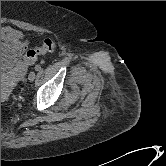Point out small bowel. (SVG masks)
Returning <instances> with one entry per match:
<instances>
[{
	"mask_svg": "<svg viewBox=\"0 0 166 166\" xmlns=\"http://www.w3.org/2000/svg\"><path fill=\"white\" fill-rule=\"evenodd\" d=\"M1 40L11 42L18 53L24 52L28 45L23 34L10 26L1 27Z\"/></svg>",
	"mask_w": 166,
	"mask_h": 166,
	"instance_id": "c3829d8e",
	"label": "small bowel"
}]
</instances>
